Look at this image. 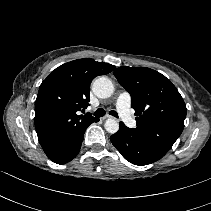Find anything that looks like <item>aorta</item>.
Returning a JSON list of instances; mask_svg holds the SVG:
<instances>
[{"label":"aorta","mask_w":211,"mask_h":211,"mask_svg":"<svg viewBox=\"0 0 211 211\" xmlns=\"http://www.w3.org/2000/svg\"><path fill=\"white\" fill-rule=\"evenodd\" d=\"M92 90L98 98L105 99L113 94L114 85L107 77H99L93 82ZM104 127L107 132L114 134L119 130V123L115 119L109 118Z\"/></svg>","instance_id":"762f6f07"}]
</instances>
